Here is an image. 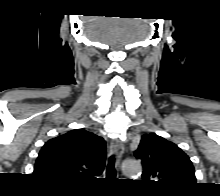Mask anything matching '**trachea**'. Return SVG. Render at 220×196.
Masks as SVG:
<instances>
[{
  "instance_id": "3493384b",
  "label": "trachea",
  "mask_w": 220,
  "mask_h": 196,
  "mask_svg": "<svg viewBox=\"0 0 220 196\" xmlns=\"http://www.w3.org/2000/svg\"><path fill=\"white\" fill-rule=\"evenodd\" d=\"M106 174H107V179H110V180L115 179V177H116L114 156H111L108 160Z\"/></svg>"
}]
</instances>
